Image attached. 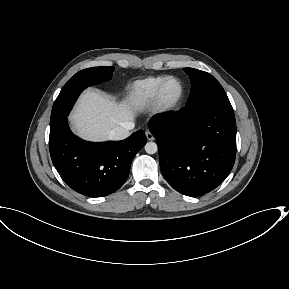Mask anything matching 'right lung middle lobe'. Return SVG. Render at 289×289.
Wrapping results in <instances>:
<instances>
[{
    "instance_id": "obj_1",
    "label": "right lung middle lobe",
    "mask_w": 289,
    "mask_h": 289,
    "mask_svg": "<svg viewBox=\"0 0 289 289\" xmlns=\"http://www.w3.org/2000/svg\"><path fill=\"white\" fill-rule=\"evenodd\" d=\"M114 67H92L76 73L62 88L54 102L50 127L67 117L79 94L86 87L110 80Z\"/></svg>"
}]
</instances>
